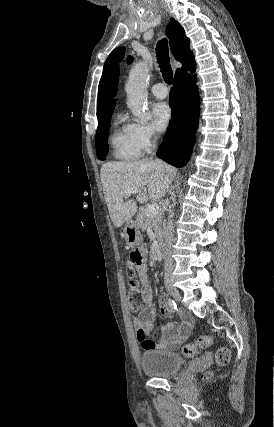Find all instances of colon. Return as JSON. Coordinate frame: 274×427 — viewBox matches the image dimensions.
<instances>
[{"instance_id": "1", "label": "colon", "mask_w": 274, "mask_h": 427, "mask_svg": "<svg viewBox=\"0 0 274 427\" xmlns=\"http://www.w3.org/2000/svg\"><path fill=\"white\" fill-rule=\"evenodd\" d=\"M144 259V249L136 248L135 251H131L130 260L132 263H141ZM129 296H128V307L132 310H136L142 304L143 294L141 288L138 286L136 278H130L129 280ZM212 344V335L203 333L199 335L195 340L186 343L183 346V355L185 357H191L195 355L201 349H207ZM216 363L220 366L227 365L231 360V351L227 347H219L215 354Z\"/></svg>"}]
</instances>
